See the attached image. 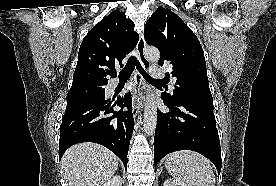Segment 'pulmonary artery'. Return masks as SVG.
I'll list each match as a JSON object with an SVG mask.
<instances>
[{"instance_id": "pulmonary-artery-1", "label": "pulmonary artery", "mask_w": 276, "mask_h": 186, "mask_svg": "<svg viewBox=\"0 0 276 186\" xmlns=\"http://www.w3.org/2000/svg\"><path fill=\"white\" fill-rule=\"evenodd\" d=\"M150 74L152 77L156 79H162L165 77V70L161 66H151L149 68ZM116 84H113L112 87L114 88Z\"/></svg>"}]
</instances>
